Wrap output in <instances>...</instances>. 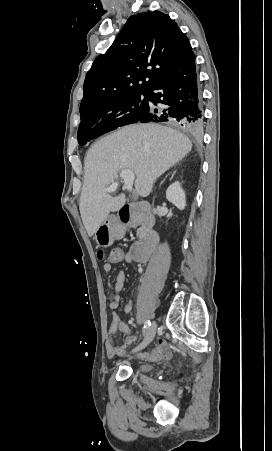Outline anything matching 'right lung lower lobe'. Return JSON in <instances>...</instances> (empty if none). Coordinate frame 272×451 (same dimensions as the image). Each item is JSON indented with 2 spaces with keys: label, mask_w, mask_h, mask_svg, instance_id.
Segmentation results:
<instances>
[{
  "label": "right lung lower lobe",
  "mask_w": 272,
  "mask_h": 451,
  "mask_svg": "<svg viewBox=\"0 0 272 451\" xmlns=\"http://www.w3.org/2000/svg\"><path fill=\"white\" fill-rule=\"evenodd\" d=\"M149 100L165 106L164 113L149 111L137 122H169L182 130L193 133L203 125V112L197 82L195 55L191 51L184 59L170 68L148 93Z\"/></svg>",
  "instance_id": "98d812e1"
}]
</instances>
